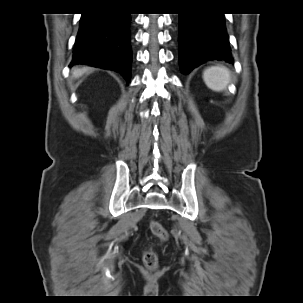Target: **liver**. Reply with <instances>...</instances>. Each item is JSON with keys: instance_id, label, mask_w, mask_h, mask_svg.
<instances>
[{"instance_id": "1", "label": "liver", "mask_w": 303, "mask_h": 303, "mask_svg": "<svg viewBox=\"0 0 303 303\" xmlns=\"http://www.w3.org/2000/svg\"><path fill=\"white\" fill-rule=\"evenodd\" d=\"M90 68L88 67H83V68H75L72 71V76L74 78H79L81 77L84 73L88 72Z\"/></svg>"}]
</instances>
